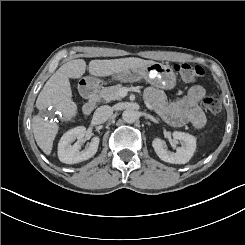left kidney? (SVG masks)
Returning <instances> with one entry per match:
<instances>
[{
  "label": "left kidney",
  "mask_w": 245,
  "mask_h": 245,
  "mask_svg": "<svg viewBox=\"0 0 245 245\" xmlns=\"http://www.w3.org/2000/svg\"><path fill=\"white\" fill-rule=\"evenodd\" d=\"M174 140H180L181 147L176 148V152H170L164 148V142L156 139L153 141V148L159 158L165 162L173 164H185L190 161L195 153L196 138L188 133L173 131Z\"/></svg>",
  "instance_id": "1"
}]
</instances>
